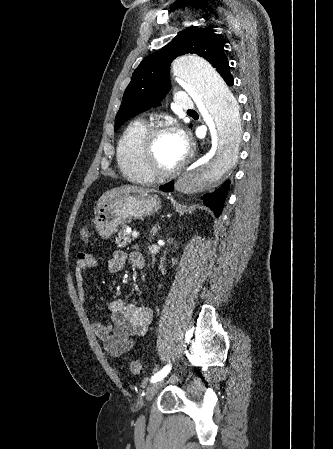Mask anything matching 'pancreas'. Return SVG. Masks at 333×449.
Segmentation results:
<instances>
[{"label": "pancreas", "mask_w": 333, "mask_h": 449, "mask_svg": "<svg viewBox=\"0 0 333 449\" xmlns=\"http://www.w3.org/2000/svg\"><path fill=\"white\" fill-rule=\"evenodd\" d=\"M127 226H123V228L118 233V238H116L115 243L118 247L127 246L131 241V234L126 231Z\"/></svg>", "instance_id": "cf45deb5"}]
</instances>
